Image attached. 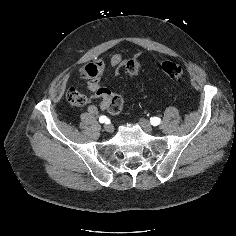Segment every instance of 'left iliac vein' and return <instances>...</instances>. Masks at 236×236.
<instances>
[{"label":"left iliac vein","instance_id":"1","mask_svg":"<svg viewBox=\"0 0 236 236\" xmlns=\"http://www.w3.org/2000/svg\"><path fill=\"white\" fill-rule=\"evenodd\" d=\"M140 124L142 125V127L144 128V130L148 133H152L153 132V127L150 124V122L146 119H140Z\"/></svg>","mask_w":236,"mask_h":236}]
</instances>
